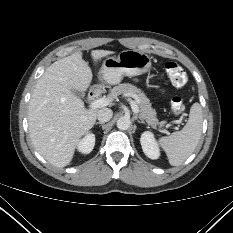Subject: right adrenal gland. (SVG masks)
<instances>
[{
  "label": "right adrenal gland",
  "mask_w": 233,
  "mask_h": 233,
  "mask_svg": "<svg viewBox=\"0 0 233 233\" xmlns=\"http://www.w3.org/2000/svg\"><path fill=\"white\" fill-rule=\"evenodd\" d=\"M95 124H96V125H98V124H99V125H103L104 123H103V122H96Z\"/></svg>",
  "instance_id": "1"
}]
</instances>
